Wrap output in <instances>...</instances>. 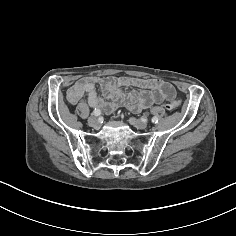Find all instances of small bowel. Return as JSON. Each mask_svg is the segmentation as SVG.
I'll list each match as a JSON object with an SVG mask.
<instances>
[{"mask_svg": "<svg viewBox=\"0 0 236 236\" xmlns=\"http://www.w3.org/2000/svg\"><path fill=\"white\" fill-rule=\"evenodd\" d=\"M96 84L101 86L105 97L98 94ZM125 87H135L140 91L123 92L122 89ZM83 97H86L92 108L106 114L120 105H127L132 111L139 112L153 104L174 100L176 90L171 83L154 78L91 77L77 80L67 91V100L72 105L77 104Z\"/></svg>", "mask_w": 236, "mask_h": 236, "instance_id": "obj_1", "label": "small bowel"}]
</instances>
